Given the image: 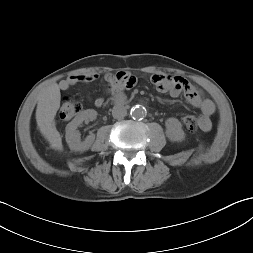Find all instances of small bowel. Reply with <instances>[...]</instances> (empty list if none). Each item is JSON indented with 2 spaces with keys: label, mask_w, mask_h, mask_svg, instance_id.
Segmentation results:
<instances>
[{
  "label": "small bowel",
  "mask_w": 253,
  "mask_h": 253,
  "mask_svg": "<svg viewBox=\"0 0 253 253\" xmlns=\"http://www.w3.org/2000/svg\"><path fill=\"white\" fill-rule=\"evenodd\" d=\"M98 79L99 75L97 73L71 75L60 82V88L66 91L79 83L89 84ZM103 81L108 85L110 91L117 92L124 87H132L136 83V77L128 72L108 73L104 75ZM151 82L159 92L167 93L171 97H178L183 94L191 106L201 110V130L209 131L211 129L212 123L209 117L215 112V105L210 99L205 98L195 86L180 76H169L165 74L152 75ZM94 104L97 107H102L104 105V99L98 97L94 99Z\"/></svg>",
  "instance_id": "obj_1"
}]
</instances>
